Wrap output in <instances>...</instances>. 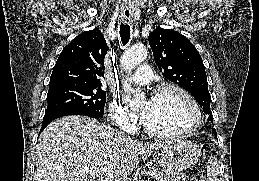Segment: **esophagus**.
Here are the masks:
<instances>
[{
  "mask_svg": "<svg viewBox=\"0 0 259 181\" xmlns=\"http://www.w3.org/2000/svg\"><path fill=\"white\" fill-rule=\"evenodd\" d=\"M124 18L127 20L130 18V15L129 14H124Z\"/></svg>",
  "mask_w": 259,
  "mask_h": 181,
  "instance_id": "1",
  "label": "esophagus"
}]
</instances>
